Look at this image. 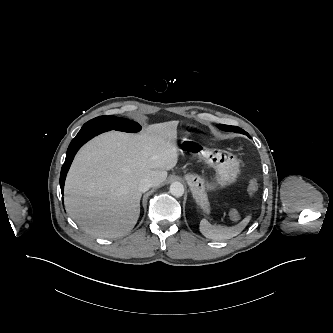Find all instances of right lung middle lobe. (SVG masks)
I'll return each mask as SVG.
<instances>
[{"instance_id":"1","label":"right lung middle lobe","mask_w":333,"mask_h":333,"mask_svg":"<svg viewBox=\"0 0 333 333\" xmlns=\"http://www.w3.org/2000/svg\"><path fill=\"white\" fill-rule=\"evenodd\" d=\"M86 128H109L125 132H138L141 127L138 123L125 118L115 116H99L84 124L82 129Z\"/></svg>"}]
</instances>
